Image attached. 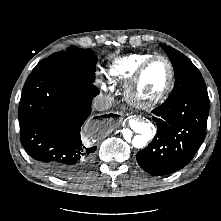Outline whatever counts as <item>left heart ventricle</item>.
<instances>
[{
	"instance_id": "obj_1",
	"label": "left heart ventricle",
	"mask_w": 221,
	"mask_h": 221,
	"mask_svg": "<svg viewBox=\"0 0 221 221\" xmlns=\"http://www.w3.org/2000/svg\"><path fill=\"white\" fill-rule=\"evenodd\" d=\"M168 78L167 64L163 60H156L144 72L137 85L136 92L144 99L154 97L164 89Z\"/></svg>"
}]
</instances>
